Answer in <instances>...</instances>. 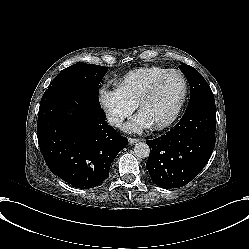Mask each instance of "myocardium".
<instances>
[{
  "label": "myocardium",
  "mask_w": 249,
  "mask_h": 249,
  "mask_svg": "<svg viewBox=\"0 0 249 249\" xmlns=\"http://www.w3.org/2000/svg\"><path fill=\"white\" fill-rule=\"evenodd\" d=\"M176 77L180 84H181V93H180V97L178 99V102L174 108V111L172 112L171 116L169 117L168 120H166L165 122L162 123H151L146 121L143 118V109L144 107L149 103V101H151L155 95L159 92V90L164 87L172 78ZM186 96V82H185V78L183 76V74L180 71H171L169 73H166L152 88L151 90L145 95V97L142 99V101L139 103L138 108H137V115L142 118L146 124L148 125V127L150 128H155V129H162L165 127H168L169 125H171L175 119L177 118L182 105L184 103V99Z\"/></svg>",
  "instance_id": "1"
}]
</instances>
